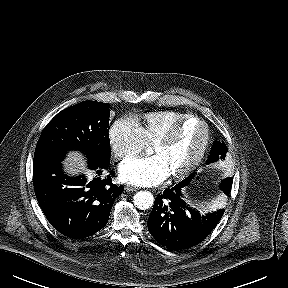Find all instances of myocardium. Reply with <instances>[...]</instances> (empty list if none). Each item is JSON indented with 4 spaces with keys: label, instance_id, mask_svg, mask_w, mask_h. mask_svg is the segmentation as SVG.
Here are the masks:
<instances>
[{
    "label": "myocardium",
    "instance_id": "1",
    "mask_svg": "<svg viewBox=\"0 0 288 288\" xmlns=\"http://www.w3.org/2000/svg\"><path fill=\"white\" fill-rule=\"evenodd\" d=\"M195 120L200 122L204 126L205 130V137H204V142L202 145V148L200 152L198 153L197 157L181 172L175 173L171 175V178L175 181H180L188 177L193 173V171L201 164L203 159L205 158V155L208 151L210 141H211V132H210V127L208 123L201 117L197 115H188L173 125H171L164 133H162L154 142L153 146H158V145H167L173 141L179 130L189 121Z\"/></svg>",
    "mask_w": 288,
    "mask_h": 288
}]
</instances>
